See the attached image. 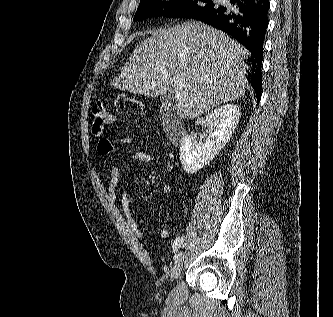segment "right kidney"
I'll return each instance as SVG.
<instances>
[{
  "label": "right kidney",
  "instance_id": "ca27d5eb",
  "mask_svg": "<svg viewBox=\"0 0 333 317\" xmlns=\"http://www.w3.org/2000/svg\"><path fill=\"white\" fill-rule=\"evenodd\" d=\"M240 108L235 104L222 105L205 118L209 136L204 144H197L192 135L180 146V161L186 173L194 174L209 164L230 140L240 119Z\"/></svg>",
  "mask_w": 333,
  "mask_h": 317
}]
</instances>
